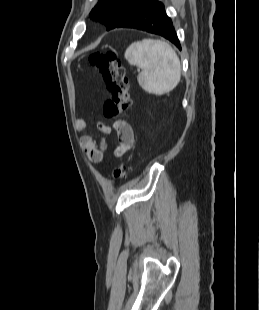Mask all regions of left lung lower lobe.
<instances>
[{"label": "left lung lower lobe", "instance_id": "1", "mask_svg": "<svg viewBox=\"0 0 259 310\" xmlns=\"http://www.w3.org/2000/svg\"><path fill=\"white\" fill-rule=\"evenodd\" d=\"M119 27L136 28L158 34L170 40L181 49L171 19L166 15L163 4L157 0H150L129 11L115 28Z\"/></svg>", "mask_w": 259, "mask_h": 310}]
</instances>
